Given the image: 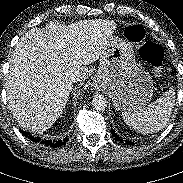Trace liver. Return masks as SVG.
<instances>
[{"label": "liver", "mask_w": 183, "mask_h": 183, "mask_svg": "<svg viewBox=\"0 0 183 183\" xmlns=\"http://www.w3.org/2000/svg\"><path fill=\"white\" fill-rule=\"evenodd\" d=\"M117 28L114 21L81 20L68 26L50 22L32 28L17 42L7 73V100L20 126L36 132L50 128L62 114L72 90L69 74L86 78Z\"/></svg>", "instance_id": "6515ba94"}]
</instances>
